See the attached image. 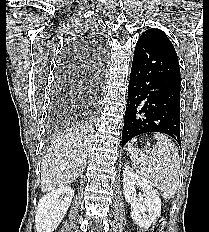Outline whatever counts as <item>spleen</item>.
Instances as JSON below:
<instances>
[{
    "label": "spleen",
    "instance_id": "3e777b00",
    "mask_svg": "<svg viewBox=\"0 0 209 232\" xmlns=\"http://www.w3.org/2000/svg\"><path fill=\"white\" fill-rule=\"evenodd\" d=\"M157 144L151 153H143L133 143L128 144L127 151L136 172L147 178L159 189L165 199L174 198L179 186L180 162L176 145L165 135L156 134Z\"/></svg>",
    "mask_w": 209,
    "mask_h": 232
}]
</instances>
